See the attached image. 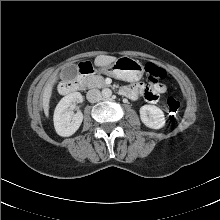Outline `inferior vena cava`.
<instances>
[{
  "label": "inferior vena cava",
  "instance_id": "602c4592",
  "mask_svg": "<svg viewBox=\"0 0 220 220\" xmlns=\"http://www.w3.org/2000/svg\"><path fill=\"white\" fill-rule=\"evenodd\" d=\"M86 98L91 103L98 102L101 99V92L98 89H91L87 92Z\"/></svg>",
  "mask_w": 220,
  "mask_h": 220
}]
</instances>
